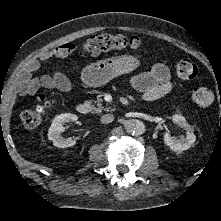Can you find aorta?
Instances as JSON below:
<instances>
[{
	"instance_id": "aorta-1",
	"label": "aorta",
	"mask_w": 221,
	"mask_h": 221,
	"mask_svg": "<svg viewBox=\"0 0 221 221\" xmlns=\"http://www.w3.org/2000/svg\"><path fill=\"white\" fill-rule=\"evenodd\" d=\"M145 126L142 121L138 119H129L125 122V130L131 135H141L144 132Z\"/></svg>"
}]
</instances>
